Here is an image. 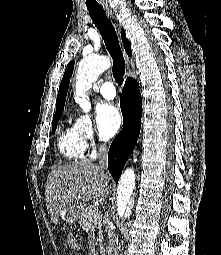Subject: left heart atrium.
Instances as JSON below:
<instances>
[{
    "label": "left heart atrium",
    "instance_id": "39dd6f15",
    "mask_svg": "<svg viewBox=\"0 0 221 255\" xmlns=\"http://www.w3.org/2000/svg\"><path fill=\"white\" fill-rule=\"evenodd\" d=\"M97 118L100 129L107 134L115 133L122 122L120 109L112 103L100 105L97 109Z\"/></svg>",
    "mask_w": 221,
    "mask_h": 255
}]
</instances>
